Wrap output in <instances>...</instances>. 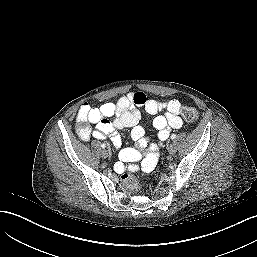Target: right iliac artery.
<instances>
[{"label":"right iliac artery","instance_id":"82829eb1","mask_svg":"<svg viewBox=\"0 0 257 257\" xmlns=\"http://www.w3.org/2000/svg\"><path fill=\"white\" fill-rule=\"evenodd\" d=\"M101 147L104 149L106 147V145L104 143H102Z\"/></svg>","mask_w":257,"mask_h":257}]
</instances>
